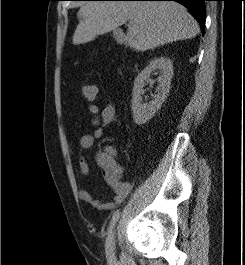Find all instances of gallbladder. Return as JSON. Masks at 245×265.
<instances>
[{
    "label": "gallbladder",
    "instance_id": "gallbladder-1",
    "mask_svg": "<svg viewBox=\"0 0 245 265\" xmlns=\"http://www.w3.org/2000/svg\"><path fill=\"white\" fill-rule=\"evenodd\" d=\"M119 32H120L119 29L114 30V32H113L114 36H116V34L119 33Z\"/></svg>",
    "mask_w": 245,
    "mask_h": 265
}]
</instances>
